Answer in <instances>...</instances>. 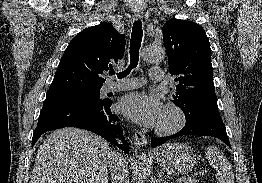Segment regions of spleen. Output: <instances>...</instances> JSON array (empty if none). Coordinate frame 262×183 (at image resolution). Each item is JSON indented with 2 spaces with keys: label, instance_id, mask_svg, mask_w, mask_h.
Segmentation results:
<instances>
[{
  "label": "spleen",
  "instance_id": "3e777b00",
  "mask_svg": "<svg viewBox=\"0 0 262 183\" xmlns=\"http://www.w3.org/2000/svg\"><path fill=\"white\" fill-rule=\"evenodd\" d=\"M205 158L216 170V180L219 183H234V173L232 168L220 150L215 146H208Z\"/></svg>",
  "mask_w": 262,
  "mask_h": 183
}]
</instances>
